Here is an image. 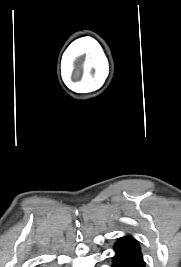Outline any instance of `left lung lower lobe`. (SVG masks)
<instances>
[{"mask_svg": "<svg viewBox=\"0 0 181 267\" xmlns=\"http://www.w3.org/2000/svg\"><path fill=\"white\" fill-rule=\"evenodd\" d=\"M116 251L112 267H145L138 242L131 236L120 238L114 246Z\"/></svg>", "mask_w": 181, "mask_h": 267, "instance_id": "0a47b994", "label": "left lung lower lobe"}]
</instances>
